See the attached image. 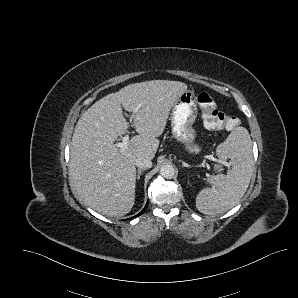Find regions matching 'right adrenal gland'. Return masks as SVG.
Returning a JSON list of instances; mask_svg holds the SVG:
<instances>
[{
    "label": "right adrenal gland",
    "instance_id": "2a0ac1e0",
    "mask_svg": "<svg viewBox=\"0 0 298 298\" xmlns=\"http://www.w3.org/2000/svg\"><path fill=\"white\" fill-rule=\"evenodd\" d=\"M146 170L145 168H138V173H137V176H136V180H139L140 179V176H141V173Z\"/></svg>",
    "mask_w": 298,
    "mask_h": 298
}]
</instances>
